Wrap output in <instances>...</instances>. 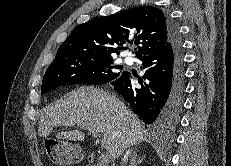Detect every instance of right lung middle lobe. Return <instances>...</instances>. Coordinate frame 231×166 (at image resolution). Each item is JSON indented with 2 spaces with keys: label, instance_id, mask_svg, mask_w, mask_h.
<instances>
[{
  "label": "right lung middle lobe",
  "instance_id": "right-lung-middle-lobe-1",
  "mask_svg": "<svg viewBox=\"0 0 231 166\" xmlns=\"http://www.w3.org/2000/svg\"><path fill=\"white\" fill-rule=\"evenodd\" d=\"M114 57L84 54L54 59L43 77L41 94L71 84H104L120 76Z\"/></svg>",
  "mask_w": 231,
  "mask_h": 166
}]
</instances>
